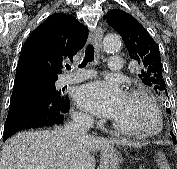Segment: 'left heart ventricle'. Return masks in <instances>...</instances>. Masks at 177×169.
I'll return each mask as SVG.
<instances>
[{
    "instance_id": "obj_1",
    "label": "left heart ventricle",
    "mask_w": 177,
    "mask_h": 169,
    "mask_svg": "<svg viewBox=\"0 0 177 169\" xmlns=\"http://www.w3.org/2000/svg\"><path fill=\"white\" fill-rule=\"evenodd\" d=\"M124 128L131 131H146L155 127V115L147 103L138 97L124 96V99L112 116Z\"/></svg>"
}]
</instances>
